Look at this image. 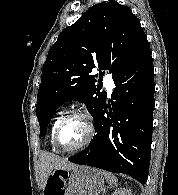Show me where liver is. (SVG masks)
<instances>
[{
    "label": "liver",
    "mask_w": 178,
    "mask_h": 195,
    "mask_svg": "<svg viewBox=\"0 0 178 195\" xmlns=\"http://www.w3.org/2000/svg\"><path fill=\"white\" fill-rule=\"evenodd\" d=\"M76 165L69 162L65 158H60L58 156L43 153L40 157V170H41V181H42V188H45L47 179L49 175L55 169H64L69 170Z\"/></svg>",
    "instance_id": "liver-1"
}]
</instances>
